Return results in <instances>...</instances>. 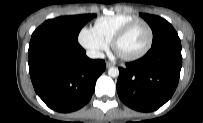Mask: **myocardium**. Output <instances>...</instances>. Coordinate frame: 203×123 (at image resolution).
Segmentation results:
<instances>
[{"label":"myocardium","instance_id":"f54148a6","mask_svg":"<svg viewBox=\"0 0 203 123\" xmlns=\"http://www.w3.org/2000/svg\"><path fill=\"white\" fill-rule=\"evenodd\" d=\"M137 25H144L148 30L149 38H148V42H147L145 48L143 50H141L140 52L133 54V55L120 54L118 51L119 42ZM153 39H154V34H153V29L150 26V24L144 20H136V21H133V22L127 24L126 26H124L114 36V38L112 40V48H113V51L115 52V54L120 59H122L124 61H134V60H138V59L142 58L143 56H145L150 51L152 44H153Z\"/></svg>","mask_w":203,"mask_h":123}]
</instances>
